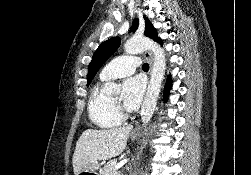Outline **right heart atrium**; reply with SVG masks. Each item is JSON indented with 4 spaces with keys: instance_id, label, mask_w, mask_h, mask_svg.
<instances>
[{
    "instance_id": "right-heart-atrium-1",
    "label": "right heart atrium",
    "mask_w": 251,
    "mask_h": 175,
    "mask_svg": "<svg viewBox=\"0 0 251 175\" xmlns=\"http://www.w3.org/2000/svg\"><path fill=\"white\" fill-rule=\"evenodd\" d=\"M116 114L119 116V117H122L123 116V113L120 109H116L115 110Z\"/></svg>"
}]
</instances>
